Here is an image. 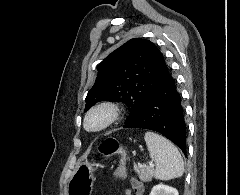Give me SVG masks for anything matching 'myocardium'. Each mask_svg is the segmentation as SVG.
Masks as SVG:
<instances>
[{
	"instance_id": "1",
	"label": "myocardium",
	"mask_w": 240,
	"mask_h": 195,
	"mask_svg": "<svg viewBox=\"0 0 240 195\" xmlns=\"http://www.w3.org/2000/svg\"><path fill=\"white\" fill-rule=\"evenodd\" d=\"M120 109L113 102H101L92 107L85 115L84 127L87 131L98 132L115 122Z\"/></svg>"
}]
</instances>
